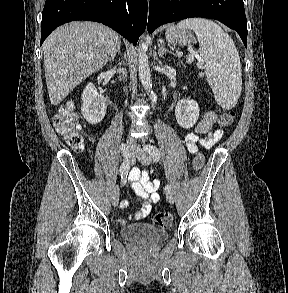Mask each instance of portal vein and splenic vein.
Instances as JSON below:
<instances>
[{
    "label": "portal vein and splenic vein",
    "mask_w": 288,
    "mask_h": 293,
    "mask_svg": "<svg viewBox=\"0 0 288 293\" xmlns=\"http://www.w3.org/2000/svg\"><path fill=\"white\" fill-rule=\"evenodd\" d=\"M197 59L199 60L200 65H202V64H203L202 59H201L200 57H197ZM191 60H193V56H191V57L188 59V62H191Z\"/></svg>",
    "instance_id": "obj_1"
}]
</instances>
